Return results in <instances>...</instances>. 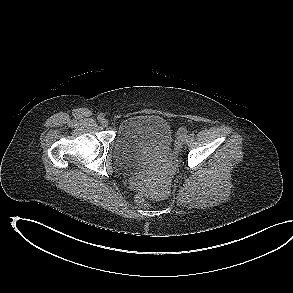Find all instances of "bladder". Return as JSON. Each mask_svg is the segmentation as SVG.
<instances>
[{
	"label": "bladder",
	"instance_id": "obj_1",
	"mask_svg": "<svg viewBox=\"0 0 293 293\" xmlns=\"http://www.w3.org/2000/svg\"><path fill=\"white\" fill-rule=\"evenodd\" d=\"M173 145L169 122L161 116L138 114L119 125L113 144V156L125 168L151 167L155 154L168 153Z\"/></svg>",
	"mask_w": 293,
	"mask_h": 293
}]
</instances>
